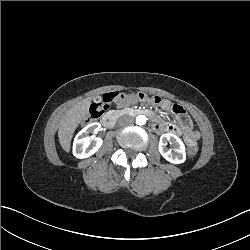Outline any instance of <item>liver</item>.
Masks as SVG:
<instances>
[{
	"label": "liver",
	"instance_id": "6515ba94",
	"mask_svg": "<svg viewBox=\"0 0 250 250\" xmlns=\"http://www.w3.org/2000/svg\"><path fill=\"white\" fill-rule=\"evenodd\" d=\"M91 98L78 101L62 118L58 130V137L61 147L70 151L71 139L78 124L87 118Z\"/></svg>",
	"mask_w": 250,
	"mask_h": 250
}]
</instances>
